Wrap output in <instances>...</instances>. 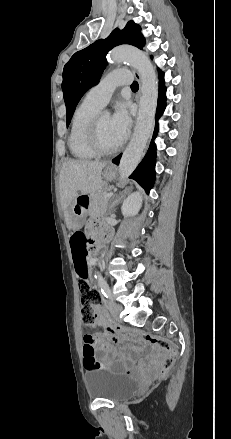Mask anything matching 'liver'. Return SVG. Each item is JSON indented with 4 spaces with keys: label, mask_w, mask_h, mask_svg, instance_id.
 Returning a JSON list of instances; mask_svg holds the SVG:
<instances>
[{
    "label": "liver",
    "mask_w": 231,
    "mask_h": 439,
    "mask_svg": "<svg viewBox=\"0 0 231 439\" xmlns=\"http://www.w3.org/2000/svg\"><path fill=\"white\" fill-rule=\"evenodd\" d=\"M107 162L72 160L65 161L59 177L60 200L63 209L81 194H89L100 189L102 169Z\"/></svg>",
    "instance_id": "1"
}]
</instances>
